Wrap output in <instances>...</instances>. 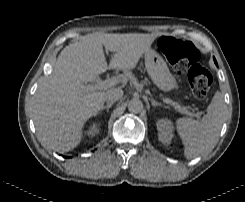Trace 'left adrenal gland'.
<instances>
[{"instance_id":"1","label":"left adrenal gland","mask_w":245,"mask_h":202,"mask_svg":"<svg viewBox=\"0 0 245 202\" xmlns=\"http://www.w3.org/2000/svg\"><path fill=\"white\" fill-rule=\"evenodd\" d=\"M151 103H152V106H153V107H156V106H163V107L167 108V107L164 106L163 104L156 102L154 99H151Z\"/></svg>"}]
</instances>
